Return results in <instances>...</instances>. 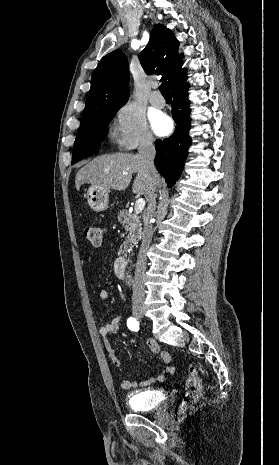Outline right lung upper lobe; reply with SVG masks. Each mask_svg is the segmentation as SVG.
Here are the masks:
<instances>
[{"label": "right lung upper lobe", "instance_id": "cb5924a9", "mask_svg": "<svg viewBox=\"0 0 279 465\" xmlns=\"http://www.w3.org/2000/svg\"><path fill=\"white\" fill-rule=\"evenodd\" d=\"M178 49L179 42L172 31L158 24L152 29L147 46L138 56L145 72L162 73V79L168 80L171 90L186 77ZM128 96L127 57L122 51L115 50L104 56L93 72L81 125L92 122L104 110L121 108Z\"/></svg>", "mask_w": 279, "mask_h": 465}]
</instances>
